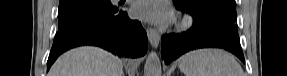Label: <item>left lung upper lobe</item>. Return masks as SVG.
<instances>
[{
	"label": "left lung upper lobe",
	"instance_id": "left-lung-upper-lobe-1",
	"mask_svg": "<svg viewBox=\"0 0 287 76\" xmlns=\"http://www.w3.org/2000/svg\"><path fill=\"white\" fill-rule=\"evenodd\" d=\"M177 9L189 12L229 33L238 34L235 0H173Z\"/></svg>",
	"mask_w": 287,
	"mask_h": 76
}]
</instances>
